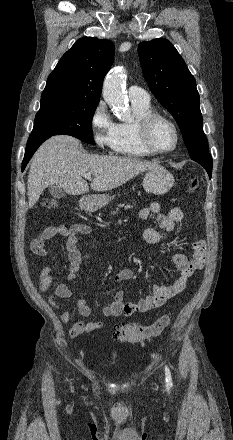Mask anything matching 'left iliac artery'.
Listing matches in <instances>:
<instances>
[{"instance_id": "obj_1", "label": "left iliac artery", "mask_w": 233, "mask_h": 440, "mask_svg": "<svg viewBox=\"0 0 233 440\" xmlns=\"http://www.w3.org/2000/svg\"><path fill=\"white\" fill-rule=\"evenodd\" d=\"M165 380L168 387L173 386L171 372L167 366H165Z\"/></svg>"}]
</instances>
